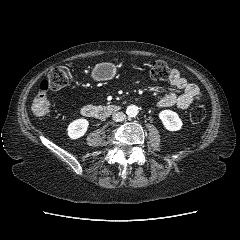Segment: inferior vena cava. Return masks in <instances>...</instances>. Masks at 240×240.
Wrapping results in <instances>:
<instances>
[{"mask_svg":"<svg viewBox=\"0 0 240 240\" xmlns=\"http://www.w3.org/2000/svg\"><path fill=\"white\" fill-rule=\"evenodd\" d=\"M126 118V115L123 112H116L112 115V119L115 122H122Z\"/></svg>","mask_w":240,"mask_h":240,"instance_id":"1","label":"inferior vena cava"}]
</instances>
